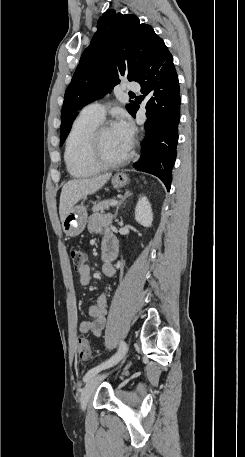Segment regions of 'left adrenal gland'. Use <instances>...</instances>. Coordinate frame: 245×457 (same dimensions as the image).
I'll use <instances>...</instances> for the list:
<instances>
[{"label":"left adrenal gland","mask_w":245,"mask_h":457,"mask_svg":"<svg viewBox=\"0 0 245 457\" xmlns=\"http://www.w3.org/2000/svg\"><path fill=\"white\" fill-rule=\"evenodd\" d=\"M130 194H132V192H130V190H126V192H124L123 198H121L120 202H118V204L116 206V210L114 212V218H117L118 210H119L123 200H125V198H127V196H130Z\"/></svg>","instance_id":"a2214340"}]
</instances>
